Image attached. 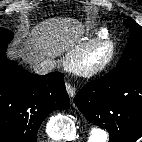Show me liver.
Returning a JSON list of instances; mask_svg holds the SVG:
<instances>
[{"label":"liver","mask_w":142,"mask_h":142,"mask_svg":"<svg viewBox=\"0 0 142 142\" xmlns=\"http://www.w3.org/2000/svg\"><path fill=\"white\" fill-rule=\"evenodd\" d=\"M83 32L81 23L72 18H53L36 25L30 32L27 59L37 64L53 58L73 47Z\"/></svg>","instance_id":"6515ba94"}]
</instances>
